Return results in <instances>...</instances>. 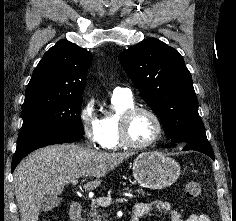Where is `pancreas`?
<instances>
[{"label":"pancreas","instance_id":"pancreas-1","mask_svg":"<svg viewBox=\"0 0 236 221\" xmlns=\"http://www.w3.org/2000/svg\"><path fill=\"white\" fill-rule=\"evenodd\" d=\"M135 192L144 194L142 189H137ZM87 221H108L107 214H105L99 205H90V211L87 213Z\"/></svg>","mask_w":236,"mask_h":221}]
</instances>
